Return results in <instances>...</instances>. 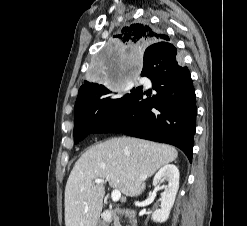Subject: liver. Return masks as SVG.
Segmentation results:
<instances>
[{
	"label": "liver",
	"instance_id": "liver-1",
	"mask_svg": "<svg viewBox=\"0 0 247 226\" xmlns=\"http://www.w3.org/2000/svg\"><path fill=\"white\" fill-rule=\"evenodd\" d=\"M178 152L169 145L132 137H114L89 147L75 163L65 187V226H96L106 179L126 196L140 195L145 180L174 161Z\"/></svg>",
	"mask_w": 247,
	"mask_h": 226
}]
</instances>
